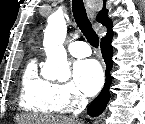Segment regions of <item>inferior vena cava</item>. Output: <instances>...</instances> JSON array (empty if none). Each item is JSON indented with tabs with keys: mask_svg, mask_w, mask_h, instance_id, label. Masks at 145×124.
<instances>
[{
	"mask_svg": "<svg viewBox=\"0 0 145 124\" xmlns=\"http://www.w3.org/2000/svg\"><path fill=\"white\" fill-rule=\"evenodd\" d=\"M86 104H87V100L84 99V100L81 102V105H82V106H86Z\"/></svg>",
	"mask_w": 145,
	"mask_h": 124,
	"instance_id": "obj_1",
	"label": "inferior vena cava"
}]
</instances>
